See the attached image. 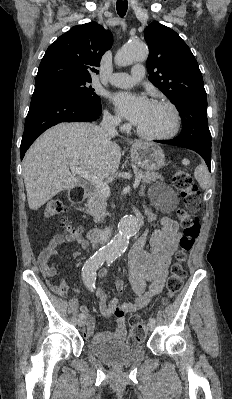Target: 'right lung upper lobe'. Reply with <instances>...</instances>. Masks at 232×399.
Here are the masks:
<instances>
[{
  "mask_svg": "<svg viewBox=\"0 0 232 399\" xmlns=\"http://www.w3.org/2000/svg\"><path fill=\"white\" fill-rule=\"evenodd\" d=\"M113 43L110 31L96 22L72 27L51 44L41 60L36 84L52 78L91 80Z\"/></svg>",
  "mask_w": 232,
  "mask_h": 399,
  "instance_id": "right-lung-upper-lobe-1",
  "label": "right lung upper lobe"
}]
</instances>
